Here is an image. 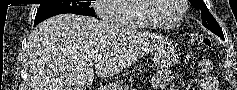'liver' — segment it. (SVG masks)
Instances as JSON below:
<instances>
[{
  "label": "liver",
  "instance_id": "liver-1",
  "mask_svg": "<svg viewBox=\"0 0 237 90\" xmlns=\"http://www.w3.org/2000/svg\"><path fill=\"white\" fill-rule=\"evenodd\" d=\"M155 42L150 34L107 20L54 16L38 24L28 38L29 90H86L95 74L99 78L118 74Z\"/></svg>",
  "mask_w": 237,
  "mask_h": 90
}]
</instances>
